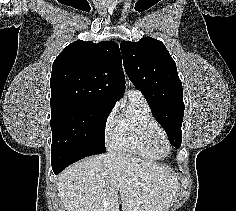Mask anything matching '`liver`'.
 Returning <instances> with one entry per match:
<instances>
[{"label": "liver", "instance_id": "6515ba94", "mask_svg": "<svg viewBox=\"0 0 236 211\" xmlns=\"http://www.w3.org/2000/svg\"><path fill=\"white\" fill-rule=\"evenodd\" d=\"M178 188L168 167L125 153H105L69 166L58 176L66 211H165Z\"/></svg>", "mask_w": 236, "mask_h": 211}]
</instances>
